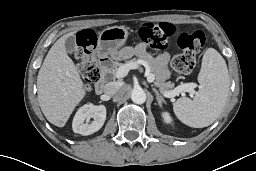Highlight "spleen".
I'll use <instances>...</instances> for the list:
<instances>
[{"mask_svg": "<svg viewBox=\"0 0 256 171\" xmlns=\"http://www.w3.org/2000/svg\"><path fill=\"white\" fill-rule=\"evenodd\" d=\"M198 82L199 90L194 99L179 98L173 105V111L182 123L203 128L219 117L230 89L226 62L214 48H208L203 55Z\"/></svg>", "mask_w": 256, "mask_h": 171, "instance_id": "spleen-1", "label": "spleen"}]
</instances>
